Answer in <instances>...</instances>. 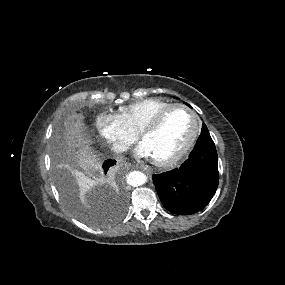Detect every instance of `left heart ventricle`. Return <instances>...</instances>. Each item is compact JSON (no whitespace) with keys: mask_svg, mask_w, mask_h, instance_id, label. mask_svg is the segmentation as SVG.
Listing matches in <instances>:
<instances>
[{"mask_svg":"<svg viewBox=\"0 0 285 285\" xmlns=\"http://www.w3.org/2000/svg\"><path fill=\"white\" fill-rule=\"evenodd\" d=\"M194 124L189 114L177 109L173 111L156 130L145 132L143 142L154 160L169 159L188 142Z\"/></svg>","mask_w":285,"mask_h":285,"instance_id":"obj_1","label":"left heart ventricle"}]
</instances>
